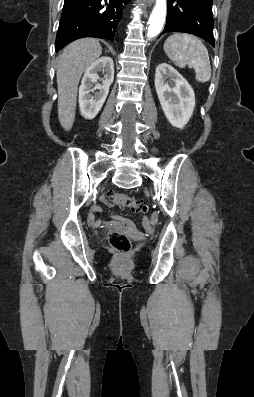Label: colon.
<instances>
[{
    "mask_svg": "<svg viewBox=\"0 0 254 397\" xmlns=\"http://www.w3.org/2000/svg\"><path fill=\"white\" fill-rule=\"evenodd\" d=\"M109 196L112 202L121 208H128L140 213H146L148 210L144 201L136 199L130 195L120 192H112ZM108 241L111 247L117 253L122 255L129 253L132 247L129 237L119 230H110L108 232Z\"/></svg>",
    "mask_w": 254,
    "mask_h": 397,
    "instance_id": "colon-1",
    "label": "colon"
}]
</instances>
